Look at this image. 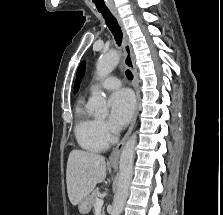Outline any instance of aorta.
<instances>
[{"label": "aorta", "instance_id": "1", "mask_svg": "<svg viewBox=\"0 0 223 215\" xmlns=\"http://www.w3.org/2000/svg\"><path fill=\"white\" fill-rule=\"evenodd\" d=\"M120 62V54L116 50H110L107 54L100 56L96 64V74L98 80H102L108 74L113 72L114 68ZM89 109L94 111L98 117H105L108 113V106L103 92L95 94L89 100ZM137 135L133 133L128 137L120 155L119 161V179L117 193L113 199V209L111 215H120L123 205L127 199L129 185L133 175V157L134 147L136 145Z\"/></svg>", "mask_w": 223, "mask_h": 215}]
</instances>
